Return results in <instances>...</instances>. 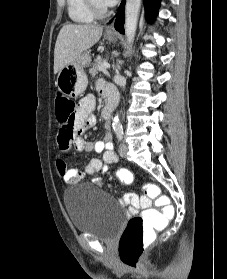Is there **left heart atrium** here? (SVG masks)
Segmentation results:
<instances>
[{
	"instance_id": "1",
	"label": "left heart atrium",
	"mask_w": 227,
	"mask_h": 279,
	"mask_svg": "<svg viewBox=\"0 0 227 279\" xmlns=\"http://www.w3.org/2000/svg\"><path fill=\"white\" fill-rule=\"evenodd\" d=\"M103 1L107 6H112L116 2V0H103Z\"/></svg>"
}]
</instances>
